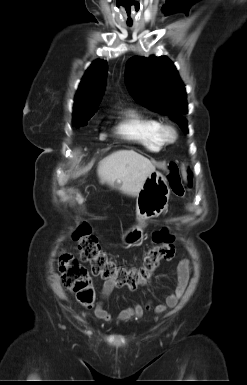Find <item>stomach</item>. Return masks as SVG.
Returning a JSON list of instances; mask_svg holds the SVG:
<instances>
[{
	"mask_svg": "<svg viewBox=\"0 0 247 385\" xmlns=\"http://www.w3.org/2000/svg\"><path fill=\"white\" fill-rule=\"evenodd\" d=\"M169 196L170 189L165 177L158 171L152 172L137 194L136 213L140 223L122 235L125 244L132 246L142 239L145 221L160 215L167 208Z\"/></svg>",
	"mask_w": 247,
	"mask_h": 385,
	"instance_id": "1",
	"label": "stomach"
}]
</instances>
